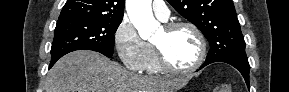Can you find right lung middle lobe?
<instances>
[{
  "label": "right lung middle lobe",
  "instance_id": "1",
  "mask_svg": "<svg viewBox=\"0 0 289 92\" xmlns=\"http://www.w3.org/2000/svg\"><path fill=\"white\" fill-rule=\"evenodd\" d=\"M122 20L69 18L57 21L51 47V61L75 50H93L111 57L114 33Z\"/></svg>",
  "mask_w": 289,
  "mask_h": 92
}]
</instances>
